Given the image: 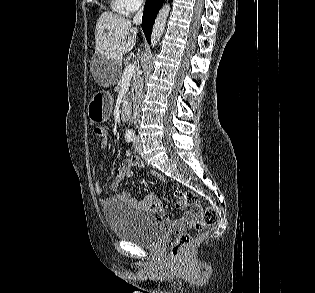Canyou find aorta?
Here are the masks:
<instances>
[{
	"label": "aorta",
	"mask_w": 315,
	"mask_h": 293,
	"mask_svg": "<svg viewBox=\"0 0 315 293\" xmlns=\"http://www.w3.org/2000/svg\"><path fill=\"white\" fill-rule=\"evenodd\" d=\"M169 11H170L169 4H164L161 7V9H160V11H159V13L155 19L152 33H151V45L152 46H155L159 42V40H160V38L164 32L167 17L169 15Z\"/></svg>",
	"instance_id": "762f6f07"
}]
</instances>
